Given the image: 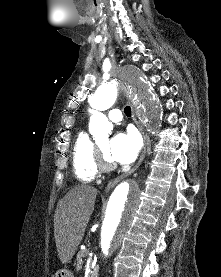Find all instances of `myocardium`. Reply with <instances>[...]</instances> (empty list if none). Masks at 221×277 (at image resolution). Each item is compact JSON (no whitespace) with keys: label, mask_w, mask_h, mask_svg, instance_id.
<instances>
[{"label":"myocardium","mask_w":221,"mask_h":277,"mask_svg":"<svg viewBox=\"0 0 221 277\" xmlns=\"http://www.w3.org/2000/svg\"><path fill=\"white\" fill-rule=\"evenodd\" d=\"M96 164L98 170L103 172L111 171L115 168V164L106 157L99 145H96Z\"/></svg>","instance_id":"1"}]
</instances>
